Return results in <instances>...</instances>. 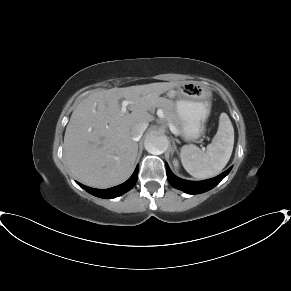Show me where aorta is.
<instances>
[{
	"label": "aorta",
	"mask_w": 291,
	"mask_h": 291,
	"mask_svg": "<svg viewBox=\"0 0 291 291\" xmlns=\"http://www.w3.org/2000/svg\"><path fill=\"white\" fill-rule=\"evenodd\" d=\"M144 145L149 153L159 155L167 150L169 142L165 135L152 132L145 138Z\"/></svg>",
	"instance_id": "aorta-1"
}]
</instances>
